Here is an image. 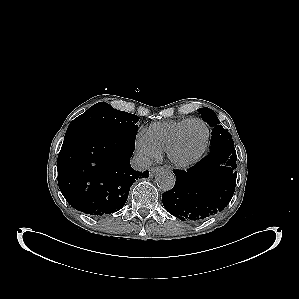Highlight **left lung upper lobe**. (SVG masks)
Segmentation results:
<instances>
[{"label": "left lung upper lobe", "mask_w": 299, "mask_h": 299, "mask_svg": "<svg viewBox=\"0 0 299 299\" xmlns=\"http://www.w3.org/2000/svg\"><path fill=\"white\" fill-rule=\"evenodd\" d=\"M198 111L201 114L202 119L213 127L210 149H213L221 144H234L232 136L228 130L219 125V120L213 110L209 108H201Z\"/></svg>", "instance_id": "obj_1"}]
</instances>
